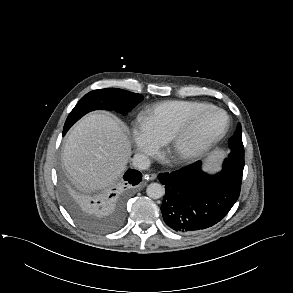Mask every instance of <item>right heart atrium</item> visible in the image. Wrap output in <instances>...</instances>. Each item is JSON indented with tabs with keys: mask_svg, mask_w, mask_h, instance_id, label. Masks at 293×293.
Instances as JSON below:
<instances>
[{
	"mask_svg": "<svg viewBox=\"0 0 293 293\" xmlns=\"http://www.w3.org/2000/svg\"><path fill=\"white\" fill-rule=\"evenodd\" d=\"M129 139L137 153L146 157L156 155L163 146V140L141 118L136 119L131 124Z\"/></svg>",
	"mask_w": 293,
	"mask_h": 293,
	"instance_id": "d8ad5b80",
	"label": "right heart atrium"
}]
</instances>
